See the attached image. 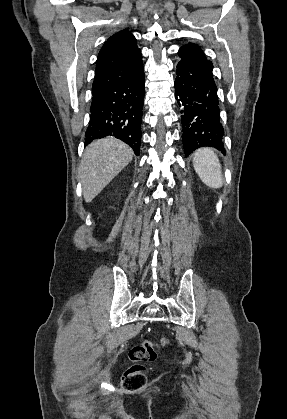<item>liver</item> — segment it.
Masks as SVG:
<instances>
[{
    "label": "liver",
    "instance_id": "1",
    "mask_svg": "<svg viewBox=\"0 0 287 419\" xmlns=\"http://www.w3.org/2000/svg\"><path fill=\"white\" fill-rule=\"evenodd\" d=\"M133 155L127 144L115 138L88 145L79 169L85 202H91L132 161Z\"/></svg>",
    "mask_w": 287,
    "mask_h": 419
}]
</instances>
